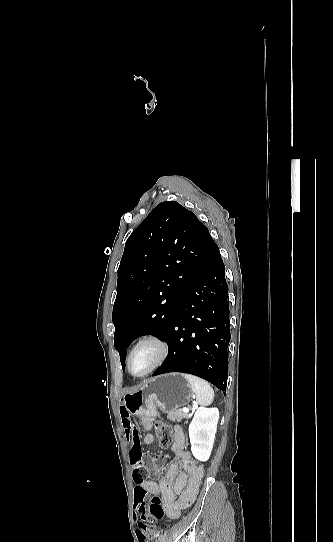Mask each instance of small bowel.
Instances as JSON below:
<instances>
[{
    "label": "small bowel",
    "instance_id": "small-bowel-1",
    "mask_svg": "<svg viewBox=\"0 0 333 542\" xmlns=\"http://www.w3.org/2000/svg\"><path fill=\"white\" fill-rule=\"evenodd\" d=\"M123 429L129 442V457L133 464L138 459L142 458V451L139 450L141 442L151 444L154 440L150 432L152 422L149 418L142 421L146 433L141 441L138 430L135 427L136 418L132 409H121L120 411ZM186 438L181 428L175 429V439L171 446L173 459L169 463L167 470L160 481L149 480L140 484L146 491L151 494L160 496L166 515L171 519L180 517L188 507H190L196 499L201 481L204 476V465L193 458L186 450ZM145 462L153 461L152 453L144 454ZM157 462L165 461L164 453L156 454ZM156 473H160L161 469H154Z\"/></svg>",
    "mask_w": 333,
    "mask_h": 542
}]
</instances>
